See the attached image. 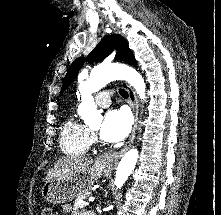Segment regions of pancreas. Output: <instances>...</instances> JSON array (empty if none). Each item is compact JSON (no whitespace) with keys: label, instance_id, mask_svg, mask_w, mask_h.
<instances>
[{"label":"pancreas","instance_id":"1","mask_svg":"<svg viewBox=\"0 0 221 215\" xmlns=\"http://www.w3.org/2000/svg\"><path fill=\"white\" fill-rule=\"evenodd\" d=\"M90 192H85L83 194H81L74 202V208L78 209V208H84L88 205L87 202L84 201V199L89 196Z\"/></svg>","mask_w":221,"mask_h":215}]
</instances>
